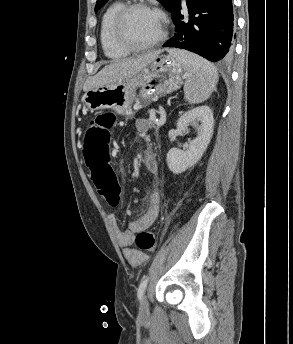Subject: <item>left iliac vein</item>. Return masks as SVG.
<instances>
[{
  "label": "left iliac vein",
  "mask_w": 293,
  "mask_h": 344,
  "mask_svg": "<svg viewBox=\"0 0 293 344\" xmlns=\"http://www.w3.org/2000/svg\"><path fill=\"white\" fill-rule=\"evenodd\" d=\"M149 314V305L146 296H143L140 302L139 315L140 317H146Z\"/></svg>",
  "instance_id": "obj_1"
}]
</instances>
